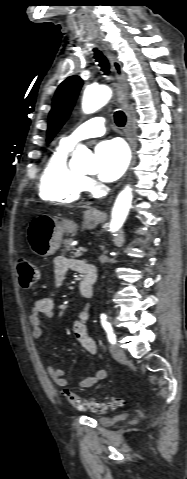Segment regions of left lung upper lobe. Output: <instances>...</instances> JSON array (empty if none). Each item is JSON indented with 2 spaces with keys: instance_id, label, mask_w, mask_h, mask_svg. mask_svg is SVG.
<instances>
[{
  "instance_id": "left-lung-upper-lobe-1",
  "label": "left lung upper lobe",
  "mask_w": 187,
  "mask_h": 479,
  "mask_svg": "<svg viewBox=\"0 0 187 479\" xmlns=\"http://www.w3.org/2000/svg\"><path fill=\"white\" fill-rule=\"evenodd\" d=\"M82 86V80L78 76H71L63 81L58 87L49 113L47 141L50 142L56 132L68 118L76 97Z\"/></svg>"
}]
</instances>
